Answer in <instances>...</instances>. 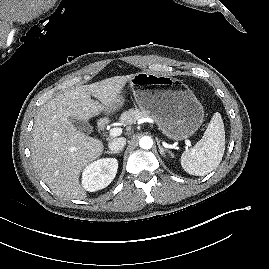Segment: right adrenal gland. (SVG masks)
<instances>
[{
	"instance_id": "1",
	"label": "right adrenal gland",
	"mask_w": 269,
	"mask_h": 269,
	"mask_svg": "<svg viewBox=\"0 0 269 269\" xmlns=\"http://www.w3.org/2000/svg\"><path fill=\"white\" fill-rule=\"evenodd\" d=\"M121 151H106V153L108 154H118L120 153Z\"/></svg>"
}]
</instances>
